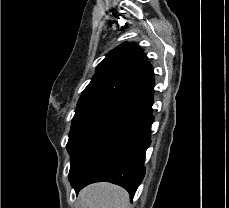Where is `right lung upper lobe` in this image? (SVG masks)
<instances>
[{"label":"right lung upper lobe","instance_id":"right-lung-upper-lobe-1","mask_svg":"<svg viewBox=\"0 0 229 208\" xmlns=\"http://www.w3.org/2000/svg\"><path fill=\"white\" fill-rule=\"evenodd\" d=\"M154 86L153 67L143 50L134 42H124L99 63L77 105L119 97L148 107L153 103Z\"/></svg>","mask_w":229,"mask_h":208}]
</instances>
